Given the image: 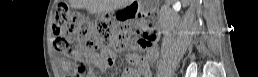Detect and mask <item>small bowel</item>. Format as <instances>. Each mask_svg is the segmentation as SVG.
<instances>
[{"instance_id":"c3829d8e","label":"small bowel","mask_w":258,"mask_h":77,"mask_svg":"<svg viewBox=\"0 0 258 77\" xmlns=\"http://www.w3.org/2000/svg\"><path fill=\"white\" fill-rule=\"evenodd\" d=\"M89 61L95 63L102 70H107L115 66L116 56L112 52H106L105 54H99L96 56H89ZM157 59V51L150 49L144 57H138L136 55H128L127 61L130 67L127 72V76H150L151 69L150 64Z\"/></svg>"}]
</instances>
